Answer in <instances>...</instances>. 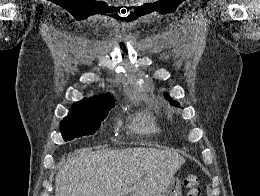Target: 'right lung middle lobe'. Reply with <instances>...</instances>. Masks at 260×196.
<instances>
[{"label": "right lung middle lobe", "mask_w": 260, "mask_h": 196, "mask_svg": "<svg viewBox=\"0 0 260 196\" xmlns=\"http://www.w3.org/2000/svg\"><path fill=\"white\" fill-rule=\"evenodd\" d=\"M111 108L97 110L71 109L61 123V133L65 141L94 134L107 117Z\"/></svg>", "instance_id": "dd1d6c3e"}]
</instances>
